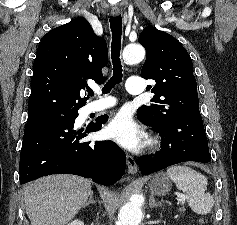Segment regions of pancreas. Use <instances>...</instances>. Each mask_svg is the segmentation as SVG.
<instances>
[{"label":"pancreas","mask_w":237,"mask_h":225,"mask_svg":"<svg viewBox=\"0 0 237 225\" xmlns=\"http://www.w3.org/2000/svg\"><path fill=\"white\" fill-rule=\"evenodd\" d=\"M180 211H184V209H180Z\"/></svg>","instance_id":"obj_1"}]
</instances>
